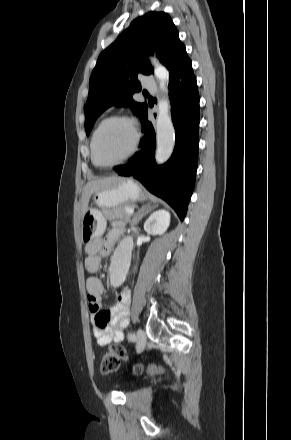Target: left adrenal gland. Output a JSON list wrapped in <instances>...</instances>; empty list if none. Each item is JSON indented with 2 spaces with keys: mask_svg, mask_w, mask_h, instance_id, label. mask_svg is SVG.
Instances as JSON below:
<instances>
[{
  "mask_svg": "<svg viewBox=\"0 0 291 440\" xmlns=\"http://www.w3.org/2000/svg\"><path fill=\"white\" fill-rule=\"evenodd\" d=\"M147 211H148V209H145V208L140 209L136 213V215L133 217V219L131 221V225L132 226L136 225L139 222V220L146 214Z\"/></svg>",
  "mask_w": 291,
  "mask_h": 440,
  "instance_id": "left-adrenal-gland-1",
  "label": "left adrenal gland"
}]
</instances>
